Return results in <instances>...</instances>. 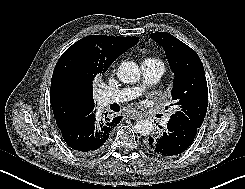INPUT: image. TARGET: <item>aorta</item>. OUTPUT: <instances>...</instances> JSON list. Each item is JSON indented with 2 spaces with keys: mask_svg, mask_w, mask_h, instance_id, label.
<instances>
[{
  "mask_svg": "<svg viewBox=\"0 0 245 189\" xmlns=\"http://www.w3.org/2000/svg\"><path fill=\"white\" fill-rule=\"evenodd\" d=\"M117 76L124 83H135L141 76L140 67L133 61H125L118 67ZM135 132L139 135L146 136L153 131V122L148 119L138 120L135 125Z\"/></svg>",
  "mask_w": 245,
  "mask_h": 189,
  "instance_id": "aorta-1",
  "label": "aorta"
}]
</instances>
